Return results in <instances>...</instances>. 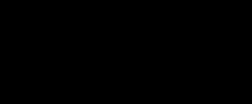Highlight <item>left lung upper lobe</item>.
<instances>
[{"label": "left lung upper lobe", "mask_w": 252, "mask_h": 104, "mask_svg": "<svg viewBox=\"0 0 252 104\" xmlns=\"http://www.w3.org/2000/svg\"><path fill=\"white\" fill-rule=\"evenodd\" d=\"M208 72H216V65L203 43L197 38H193L191 58L179 77Z\"/></svg>", "instance_id": "1"}]
</instances>
